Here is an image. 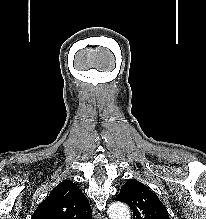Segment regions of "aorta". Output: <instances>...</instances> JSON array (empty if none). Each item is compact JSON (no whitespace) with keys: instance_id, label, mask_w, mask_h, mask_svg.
Instances as JSON below:
<instances>
[{"instance_id":"1","label":"aorta","mask_w":206,"mask_h":219,"mask_svg":"<svg viewBox=\"0 0 206 219\" xmlns=\"http://www.w3.org/2000/svg\"><path fill=\"white\" fill-rule=\"evenodd\" d=\"M108 214L110 219H130V210L128 206L121 202L112 203Z\"/></svg>"}]
</instances>
